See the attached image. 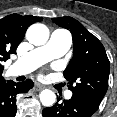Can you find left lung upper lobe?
Masks as SVG:
<instances>
[{
  "mask_svg": "<svg viewBox=\"0 0 117 117\" xmlns=\"http://www.w3.org/2000/svg\"><path fill=\"white\" fill-rule=\"evenodd\" d=\"M52 20L70 30L73 37V58L63 73L69 81V89L73 95L98 109L108 89L110 72L104 46L74 18L65 16Z\"/></svg>",
  "mask_w": 117,
  "mask_h": 117,
  "instance_id": "obj_1",
  "label": "left lung upper lobe"
}]
</instances>
